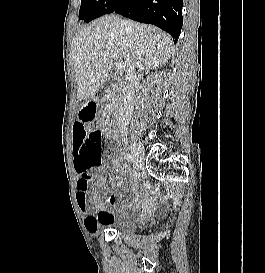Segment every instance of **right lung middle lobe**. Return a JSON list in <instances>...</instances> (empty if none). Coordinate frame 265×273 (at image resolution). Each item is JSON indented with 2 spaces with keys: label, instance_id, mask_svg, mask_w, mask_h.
Returning a JSON list of instances; mask_svg holds the SVG:
<instances>
[{
  "label": "right lung middle lobe",
  "instance_id": "right-lung-middle-lobe-1",
  "mask_svg": "<svg viewBox=\"0 0 265 273\" xmlns=\"http://www.w3.org/2000/svg\"><path fill=\"white\" fill-rule=\"evenodd\" d=\"M119 0H81L79 19L90 22L113 11Z\"/></svg>",
  "mask_w": 265,
  "mask_h": 273
}]
</instances>
